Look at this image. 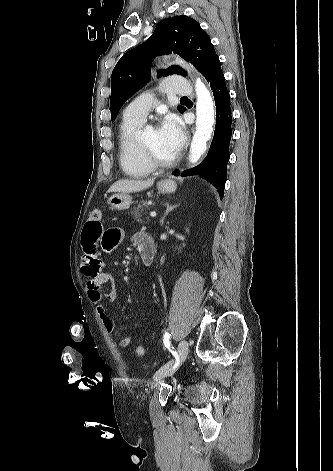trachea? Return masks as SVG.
I'll return each mask as SVG.
<instances>
[{"mask_svg":"<svg viewBox=\"0 0 333 471\" xmlns=\"http://www.w3.org/2000/svg\"><path fill=\"white\" fill-rule=\"evenodd\" d=\"M181 99H188L187 97H182Z\"/></svg>","mask_w":333,"mask_h":471,"instance_id":"1","label":"trachea"}]
</instances>
